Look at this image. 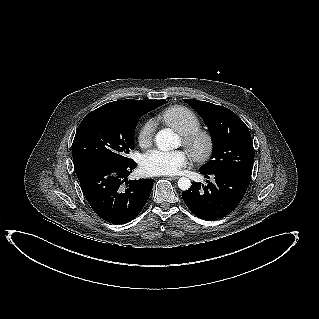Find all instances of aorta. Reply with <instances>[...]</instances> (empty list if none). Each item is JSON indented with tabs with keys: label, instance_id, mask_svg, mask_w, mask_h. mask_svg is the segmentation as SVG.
<instances>
[{
	"label": "aorta",
	"instance_id": "aorta-1",
	"mask_svg": "<svg viewBox=\"0 0 319 319\" xmlns=\"http://www.w3.org/2000/svg\"><path fill=\"white\" fill-rule=\"evenodd\" d=\"M157 147L162 151H168L178 147L179 141L177 135L171 129L159 131L155 137ZM178 187L185 191L191 187V181L186 177L178 180Z\"/></svg>",
	"mask_w": 319,
	"mask_h": 319
}]
</instances>
